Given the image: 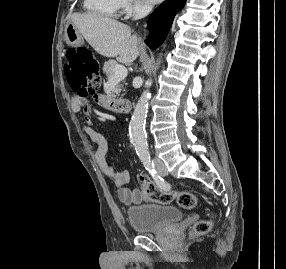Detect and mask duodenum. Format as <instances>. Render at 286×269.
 Here are the masks:
<instances>
[{
  "instance_id": "duodenum-1",
  "label": "duodenum",
  "mask_w": 286,
  "mask_h": 269,
  "mask_svg": "<svg viewBox=\"0 0 286 269\" xmlns=\"http://www.w3.org/2000/svg\"><path fill=\"white\" fill-rule=\"evenodd\" d=\"M116 108L120 113H128L131 109V103L125 100L117 101Z\"/></svg>"
}]
</instances>
